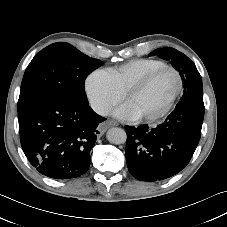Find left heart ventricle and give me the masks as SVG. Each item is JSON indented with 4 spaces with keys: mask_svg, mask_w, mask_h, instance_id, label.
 <instances>
[{
    "mask_svg": "<svg viewBox=\"0 0 227 227\" xmlns=\"http://www.w3.org/2000/svg\"><path fill=\"white\" fill-rule=\"evenodd\" d=\"M177 86L176 74L170 70L163 71L143 90L129 97L125 104L137 117L154 116L164 109Z\"/></svg>",
    "mask_w": 227,
    "mask_h": 227,
    "instance_id": "b2bd125f",
    "label": "left heart ventricle"
}]
</instances>
